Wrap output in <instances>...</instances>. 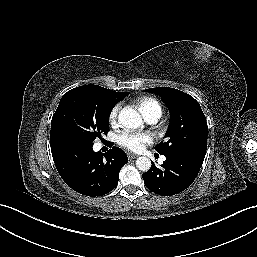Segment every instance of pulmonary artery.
<instances>
[{"label": "pulmonary artery", "instance_id": "pulmonary-artery-1", "mask_svg": "<svg viewBox=\"0 0 257 257\" xmlns=\"http://www.w3.org/2000/svg\"><path fill=\"white\" fill-rule=\"evenodd\" d=\"M147 121L149 123H151V124H154V123H156L158 121V118L157 117H153V118L148 119ZM164 160H165V158L162 157L161 161H164Z\"/></svg>", "mask_w": 257, "mask_h": 257}]
</instances>
